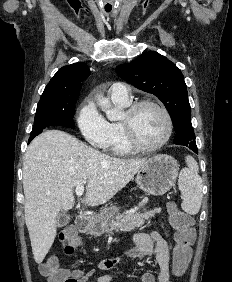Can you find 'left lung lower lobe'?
I'll return each mask as SVG.
<instances>
[{
    "mask_svg": "<svg viewBox=\"0 0 232 282\" xmlns=\"http://www.w3.org/2000/svg\"><path fill=\"white\" fill-rule=\"evenodd\" d=\"M174 143L177 144V145H183V144H181V142H179V141H177V140H175ZM185 146H187V145H185ZM189 148H190L191 150H193L195 153H198V150H197V146H196V145H189Z\"/></svg>",
    "mask_w": 232,
    "mask_h": 282,
    "instance_id": "left-lung-lower-lobe-1",
    "label": "left lung lower lobe"
}]
</instances>
